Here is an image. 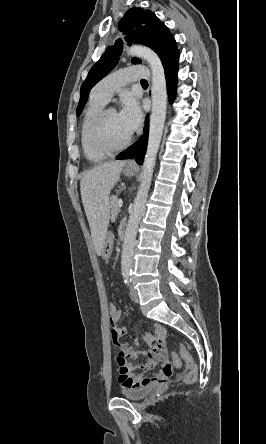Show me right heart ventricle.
I'll return each mask as SVG.
<instances>
[{"label":"right heart ventricle","instance_id":"obj_1","mask_svg":"<svg viewBox=\"0 0 266 444\" xmlns=\"http://www.w3.org/2000/svg\"><path fill=\"white\" fill-rule=\"evenodd\" d=\"M106 102L99 99L98 97L91 95V98L89 100V103L85 109L82 124H81V131H80V142L81 147L83 150L84 155L87 159L91 161H101L106 159L109 154L103 153L94 150L88 142V129L89 126L94 119V117L103 109L105 108Z\"/></svg>","mask_w":266,"mask_h":444}]
</instances>
